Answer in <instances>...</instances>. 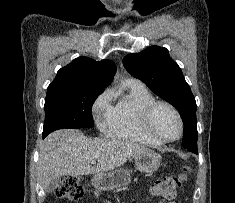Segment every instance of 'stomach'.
I'll use <instances>...</instances> for the list:
<instances>
[{
  "mask_svg": "<svg viewBox=\"0 0 235 203\" xmlns=\"http://www.w3.org/2000/svg\"><path fill=\"white\" fill-rule=\"evenodd\" d=\"M136 169L143 173H153L160 165V155L153 150H143L134 156ZM131 182L130 171L118 168L111 172L96 174L92 185L101 191H109L126 186Z\"/></svg>",
  "mask_w": 235,
  "mask_h": 203,
  "instance_id": "1",
  "label": "stomach"
}]
</instances>
